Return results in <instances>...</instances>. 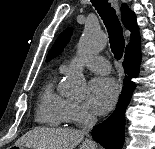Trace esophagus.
I'll return each instance as SVG.
<instances>
[{
    "instance_id": "1",
    "label": "esophagus",
    "mask_w": 155,
    "mask_h": 149,
    "mask_svg": "<svg viewBox=\"0 0 155 149\" xmlns=\"http://www.w3.org/2000/svg\"><path fill=\"white\" fill-rule=\"evenodd\" d=\"M111 4L119 11V2L118 0H110Z\"/></svg>"
}]
</instances>
